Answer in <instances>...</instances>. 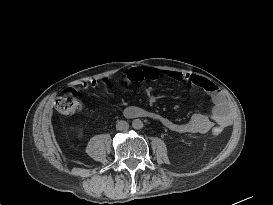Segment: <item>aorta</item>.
Segmentation results:
<instances>
[{"mask_svg": "<svg viewBox=\"0 0 273 205\" xmlns=\"http://www.w3.org/2000/svg\"><path fill=\"white\" fill-rule=\"evenodd\" d=\"M132 127L134 129H142L143 128V122L140 119H134L132 121Z\"/></svg>", "mask_w": 273, "mask_h": 205, "instance_id": "1", "label": "aorta"}]
</instances>
